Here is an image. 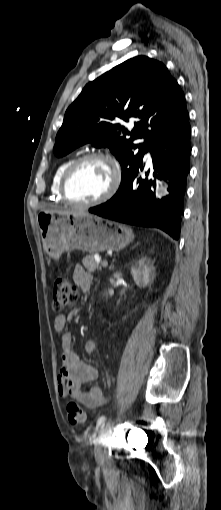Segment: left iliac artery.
I'll return each mask as SVG.
<instances>
[{
	"label": "left iliac artery",
	"mask_w": 221,
	"mask_h": 510,
	"mask_svg": "<svg viewBox=\"0 0 221 510\" xmlns=\"http://www.w3.org/2000/svg\"><path fill=\"white\" fill-rule=\"evenodd\" d=\"M105 421H106V417H105V416H101V417L98 419V421H97V425H98L99 427H103V426H104V424H105Z\"/></svg>",
	"instance_id": "left-iliac-artery-1"
}]
</instances>
